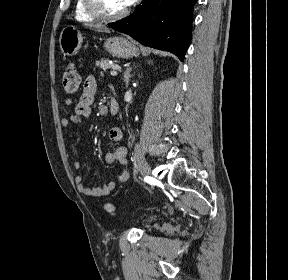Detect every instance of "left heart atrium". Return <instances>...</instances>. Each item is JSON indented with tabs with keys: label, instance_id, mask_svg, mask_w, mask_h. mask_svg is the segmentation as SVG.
Returning a JSON list of instances; mask_svg holds the SVG:
<instances>
[{
	"label": "left heart atrium",
	"instance_id": "1",
	"mask_svg": "<svg viewBox=\"0 0 288 280\" xmlns=\"http://www.w3.org/2000/svg\"><path fill=\"white\" fill-rule=\"evenodd\" d=\"M135 2V0H123V3L125 5V7L130 6L131 4H133Z\"/></svg>",
	"mask_w": 288,
	"mask_h": 280
}]
</instances>
